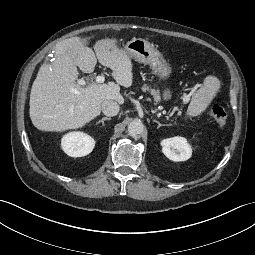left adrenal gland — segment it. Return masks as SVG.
Here are the masks:
<instances>
[{"instance_id": "obj_1", "label": "left adrenal gland", "mask_w": 255, "mask_h": 255, "mask_svg": "<svg viewBox=\"0 0 255 255\" xmlns=\"http://www.w3.org/2000/svg\"><path fill=\"white\" fill-rule=\"evenodd\" d=\"M153 121L158 124L157 128H160L161 126H171V124H161L159 121H157L155 119Z\"/></svg>"}]
</instances>
